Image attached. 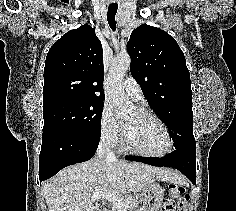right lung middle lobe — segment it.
Here are the masks:
<instances>
[{
	"label": "right lung middle lobe",
	"instance_id": "1",
	"mask_svg": "<svg viewBox=\"0 0 236 211\" xmlns=\"http://www.w3.org/2000/svg\"><path fill=\"white\" fill-rule=\"evenodd\" d=\"M104 103L91 99H59L43 105V131L63 129L101 136Z\"/></svg>",
	"mask_w": 236,
	"mask_h": 211
}]
</instances>
